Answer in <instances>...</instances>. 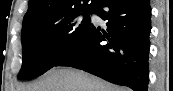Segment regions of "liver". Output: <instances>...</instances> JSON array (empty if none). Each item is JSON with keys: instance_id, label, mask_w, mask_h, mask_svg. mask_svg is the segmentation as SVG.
<instances>
[{"instance_id": "liver-1", "label": "liver", "mask_w": 173, "mask_h": 91, "mask_svg": "<svg viewBox=\"0 0 173 91\" xmlns=\"http://www.w3.org/2000/svg\"><path fill=\"white\" fill-rule=\"evenodd\" d=\"M19 91H129L82 70L70 67L52 68L39 80Z\"/></svg>"}]
</instances>
